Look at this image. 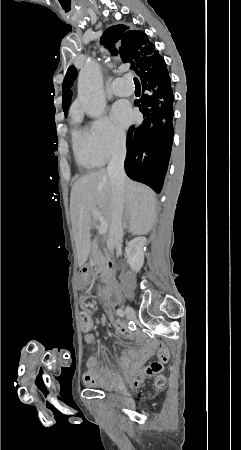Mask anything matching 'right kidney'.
I'll return each instance as SVG.
<instances>
[{"label": "right kidney", "instance_id": "ca27d5eb", "mask_svg": "<svg viewBox=\"0 0 241 450\" xmlns=\"http://www.w3.org/2000/svg\"><path fill=\"white\" fill-rule=\"evenodd\" d=\"M146 242V238H134V240L128 242L125 248L127 262L134 272H140L144 264L143 248L146 246Z\"/></svg>", "mask_w": 241, "mask_h": 450}]
</instances>
